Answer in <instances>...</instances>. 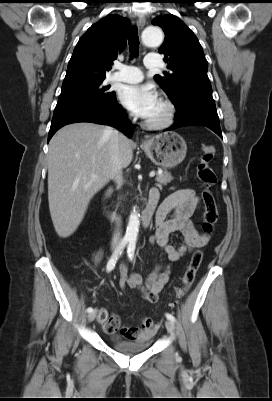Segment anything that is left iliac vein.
<instances>
[{"instance_id":"left-iliac-vein-1","label":"left iliac vein","mask_w":272,"mask_h":401,"mask_svg":"<svg viewBox=\"0 0 272 401\" xmlns=\"http://www.w3.org/2000/svg\"><path fill=\"white\" fill-rule=\"evenodd\" d=\"M165 326H166V329L168 330V332H170V333H173V332H174V330H175V325H174V322H173V321L167 320V321L165 322Z\"/></svg>"}]
</instances>
